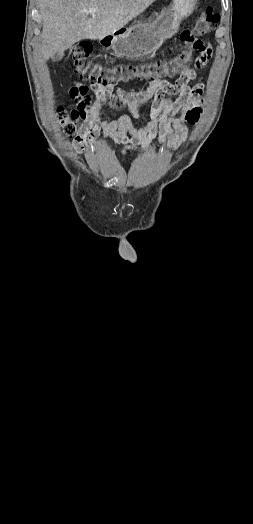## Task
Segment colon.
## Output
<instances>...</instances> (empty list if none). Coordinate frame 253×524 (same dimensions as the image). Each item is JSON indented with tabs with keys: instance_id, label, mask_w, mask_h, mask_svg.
Here are the masks:
<instances>
[{
	"instance_id": "1",
	"label": "colon",
	"mask_w": 253,
	"mask_h": 524,
	"mask_svg": "<svg viewBox=\"0 0 253 524\" xmlns=\"http://www.w3.org/2000/svg\"><path fill=\"white\" fill-rule=\"evenodd\" d=\"M219 23V13L213 8L208 7L197 19L191 32L195 35L205 36L213 32ZM182 40V39H181ZM201 43H203L201 41ZM204 44V43H203ZM192 44H184L171 57L166 59H156L147 63H118L112 66L103 65L90 59L91 43L80 41L71 50L70 64L79 74L80 78L90 83L93 90H110L115 84L130 80L154 81L153 76L161 81L167 77H173L179 71H183L194 60V51L190 49ZM206 52V51H204ZM81 83L76 81L72 89H77L80 93ZM83 92V90H81ZM90 100L86 97L77 99L72 109L59 108L57 120L67 136H73L78 128V120L87 115L90 110ZM200 109L194 108L187 114L191 123L198 121Z\"/></svg>"
}]
</instances>
